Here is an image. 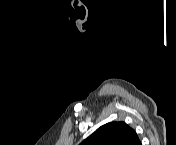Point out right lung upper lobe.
I'll return each instance as SVG.
<instances>
[{"instance_id": "right-lung-upper-lobe-1", "label": "right lung upper lobe", "mask_w": 176, "mask_h": 145, "mask_svg": "<svg viewBox=\"0 0 176 145\" xmlns=\"http://www.w3.org/2000/svg\"><path fill=\"white\" fill-rule=\"evenodd\" d=\"M81 145H141V142L126 123L110 122L99 127Z\"/></svg>"}]
</instances>
